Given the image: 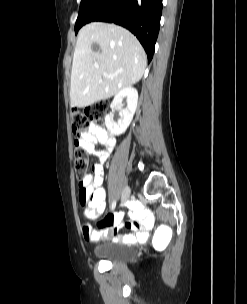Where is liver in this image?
<instances>
[{
	"mask_svg": "<svg viewBox=\"0 0 247 304\" xmlns=\"http://www.w3.org/2000/svg\"><path fill=\"white\" fill-rule=\"evenodd\" d=\"M93 44L100 50L94 51ZM146 65L143 47L127 29L101 22L85 25L78 33L73 56L71 107L83 108L116 95L137 83Z\"/></svg>",
	"mask_w": 247,
	"mask_h": 304,
	"instance_id": "liver-1",
	"label": "liver"
}]
</instances>
